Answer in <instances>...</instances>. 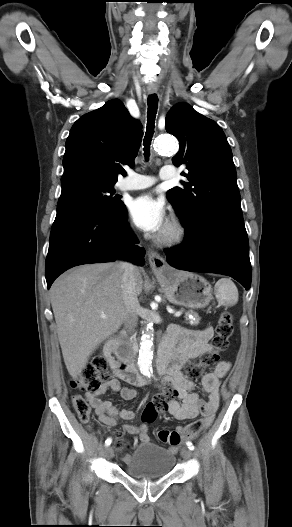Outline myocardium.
I'll list each match as a JSON object with an SVG mask.
<instances>
[{"label":"myocardium","instance_id":"1","mask_svg":"<svg viewBox=\"0 0 292 527\" xmlns=\"http://www.w3.org/2000/svg\"><path fill=\"white\" fill-rule=\"evenodd\" d=\"M186 236V228L184 224L177 218H173L158 236L159 243L164 245H175L184 240Z\"/></svg>","mask_w":292,"mask_h":527}]
</instances>
